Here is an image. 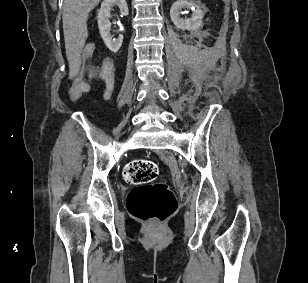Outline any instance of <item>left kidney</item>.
<instances>
[{
  "label": "left kidney",
  "mask_w": 308,
  "mask_h": 283,
  "mask_svg": "<svg viewBox=\"0 0 308 283\" xmlns=\"http://www.w3.org/2000/svg\"><path fill=\"white\" fill-rule=\"evenodd\" d=\"M191 9V18H181L180 13L182 9ZM206 8L200 3L199 0L188 1L178 0L173 3L170 9V17L173 24L182 30L194 31L200 29L203 25V17Z\"/></svg>",
  "instance_id": "1"
}]
</instances>
